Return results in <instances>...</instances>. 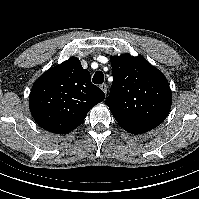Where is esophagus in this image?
<instances>
[{
    "mask_svg": "<svg viewBox=\"0 0 199 199\" xmlns=\"http://www.w3.org/2000/svg\"><path fill=\"white\" fill-rule=\"evenodd\" d=\"M100 89L104 92L107 93V85L106 84H101Z\"/></svg>",
    "mask_w": 199,
    "mask_h": 199,
    "instance_id": "obj_1",
    "label": "esophagus"
}]
</instances>
